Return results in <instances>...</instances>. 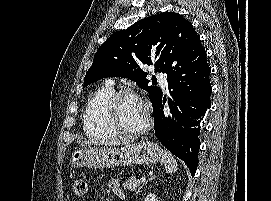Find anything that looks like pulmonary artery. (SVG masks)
<instances>
[{
	"label": "pulmonary artery",
	"mask_w": 271,
	"mask_h": 201,
	"mask_svg": "<svg viewBox=\"0 0 271 201\" xmlns=\"http://www.w3.org/2000/svg\"><path fill=\"white\" fill-rule=\"evenodd\" d=\"M157 77H158V80H159V82L161 83V85H162L163 87H165V86L167 85V80H166L165 74H163L162 72H159V73L157 74ZM107 83L110 85V84H112V81H111V80H108Z\"/></svg>",
	"instance_id": "obj_1"
}]
</instances>
